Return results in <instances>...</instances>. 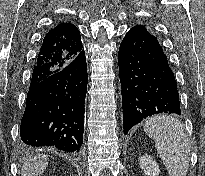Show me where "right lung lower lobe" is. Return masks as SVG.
<instances>
[{"mask_svg": "<svg viewBox=\"0 0 205 176\" xmlns=\"http://www.w3.org/2000/svg\"><path fill=\"white\" fill-rule=\"evenodd\" d=\"M87 82L83 51L59 72L30 87L20 126L23 145L78 152L83 143Z\"/></svg>", "mask_w": 205, "mask_h": 176, "instance_id": "right-lung-lower-lobe-1", "label": "right lung lower lobe"}]
</instances>
